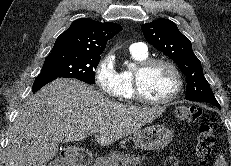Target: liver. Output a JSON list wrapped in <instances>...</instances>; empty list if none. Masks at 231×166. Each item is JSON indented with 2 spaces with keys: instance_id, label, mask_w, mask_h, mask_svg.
<instances>
[{
  "instance_id": "6515ba94",
  "label": "liver",
  "mask_w": 231,
  "mask_h": 166,
  "mask_svg": "<svg viewBox=\"0 0 231 166\" xmlns=\"http://www.w3.org/2000/svg\"><path fill=\"white\" fill-rule=\"evenodd\" d=\"M164 111L117 103L83 82L59 78L22 106L9 133L6 166H47L59 143L83 140L92 131L100 145H111Z\"/></svg>"
}]
</instances>
